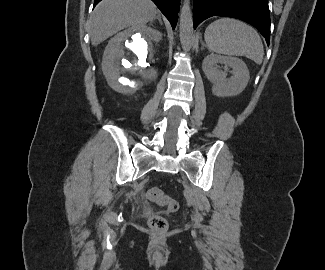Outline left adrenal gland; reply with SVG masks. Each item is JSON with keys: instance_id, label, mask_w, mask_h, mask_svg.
Returning a JSON list of instances; mask_svg holds the SVG:
<instances>
[{"instance_id": "a2214340", "label": "left adrenal gland", "mask_w": 325, "mask_h": 270, "mask_svg": "<svg viewBox=\"0 0 325 270\" xmlns=\"http://www.w3.org/2000/svg\"><path fill=\"white\" fill-rule=\"evenodd\" d=\"M205 47H206L205 43L202 42V47H201V49H204Z\"/></svg>"}]
</instances>
